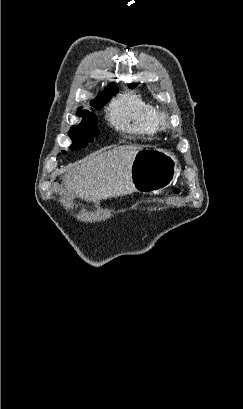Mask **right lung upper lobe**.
Here are the masks:
<instances>
[{"mask_svg":"<svg viewBox=\"0 0 243 409\" xmlns=\"http://www.w3.org/2000/svg\"><path fill=\"white\" fill-rule=\"evenodd\" d=\"M116 91H118L117 87L112 83L108 87L105 88L104 92H99V96L96 99H94L93 101H91L90 104L95 105V104L101 102L106 95H108L110 93H113V92H116ZM79 109H81V108H79Z\"/></svg>","mask_w":243,"mask_h":409,"instance_id":"right-lung-upper-lobe-1","label":"right lung upper lobe"}]
</instances>
